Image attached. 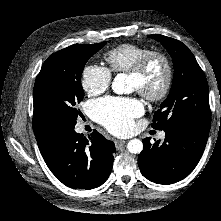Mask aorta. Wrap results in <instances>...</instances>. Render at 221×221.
<instances>
[{
	"label": "aorta",
	"instance_id": "1",
	"mask_svg": "<svg viewBox=\"0 0 221 221\" xmlns=\"http://www.w3.org/2000/svg\"><path fill=\"white\" fill-rule=\"evenodd\" d=\"M126 75L125 74H118L113 82H112V89L116 94H125L129 93L130 89L126 85ZM128 151L130 153L138 154L143 150V143L139 139H132L127 144Z\"/></svg>",
	"mask_w": 221,
	"mask_h": 221
}]
</instances>
